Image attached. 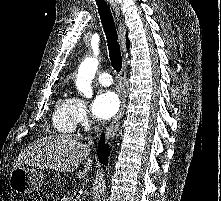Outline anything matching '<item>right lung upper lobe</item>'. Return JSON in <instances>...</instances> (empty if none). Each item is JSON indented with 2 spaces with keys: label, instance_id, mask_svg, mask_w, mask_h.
I'll return each instance as SVG.
<instances>
[{
  "label": "right lung upper lobe",
  "instance_id": "right-lung-upper-lobe-1",
  "mask_svg": "<svg viewBox=\"0 0 221 201\" xmlns=\"http://www.w3.org/2000/svg\"><path fill=\"white\" fill-rule=\"evenodd\" d=\"M127 48H129V40L126 39Z\"/></svg>",
  "mask_w": 221,
  "mask_h": 201
}]
</instances>
